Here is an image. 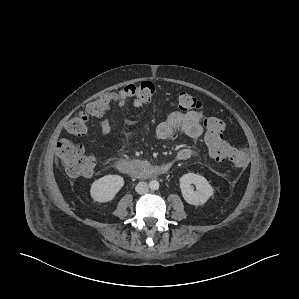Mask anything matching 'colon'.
I'll return each instance as SVG.
<instances>
[{"instance_id": "obj_1", "label": "colon", "mask_w": 299, "mask_h": 299, "mask_svg": "<svg viewBox=\"0 0 299 299\" xmlns=\"http://www.w3.org/2000/svg\"><path fill=\"white\" fill-rule=\"evenodd\" d=\"M124 90L132 99H138L142 103L150 101L156 92L154 84L149 81L128 85ZM178 105L184 111L198 110L202 106L200 100L189 92L179 94ZM108 108L109 100L106 96L93 100L83 111L67 122V131L75 136L84 135L87 132L89 120L93 117L103 116ZM204 125L206 130L204 139L212 158L217 161L229 159L240 168L248 164V153L231 146L224 139L225 124L220 118L209 117L205 120ZM57 155L66 173L70 176H90L95 170V159L85 153L82 145L75 144L70 140L63 139L58 142Z\"/></svg>"}]
</instances>
